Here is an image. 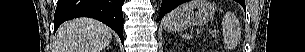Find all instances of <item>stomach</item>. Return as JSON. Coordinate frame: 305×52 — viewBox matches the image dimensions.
I'll list each match as a JSON object with an SVG mask.
<instances>
[{"mask_svg": "<svg viewBox=\"0 0 305 52\" xmlns=\"http://www.w3.org/2000/svg\"><path fill=\"white\" fill-rule=\"evenodd\" d=\"M214 13L215 8L210 1L192 0L168 13L163 25L168 31H184L189 27L207 23Z\"/></svg>", "mask_w": 305, "mask_h": 52, "instance_id": "0dacf381", "label": "stomach"}]
</instances>
